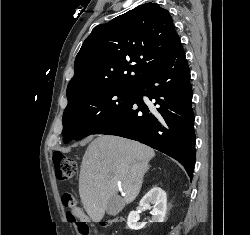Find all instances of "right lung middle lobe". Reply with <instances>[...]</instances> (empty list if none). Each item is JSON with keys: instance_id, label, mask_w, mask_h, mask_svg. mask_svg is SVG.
<instances>
[{"instance_id": "1", "label": "right lung middle lobe", "mask_w": 250, "mask_h": 235, "mask_svg": "<svg viewBox=\"0 0 250 235\" xmlns=\"http://www.w3.org/2000/svg\"><path fill=\"white\" fill-rule=\"evenodd\" d=\"M135 89H101L69 102L63 114L64 143L93 134L127 105Z\"/></svg>"}]
</instances>
